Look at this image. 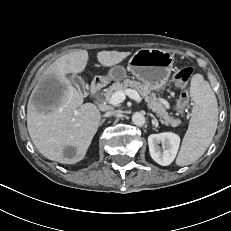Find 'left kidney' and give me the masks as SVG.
Returning <instances> with one entry per match:
<instances>
[{
  "instance_id": "5707ae66",
  "label": "left kidney",
  "mask_w": 231,
  "mask_h": 231,
  "mask_svg": "<svg viewBox=\"0 0 231 231\" xmlns=\"http://www.w3.org/2000/svg\"><path fill=\"white\" fill-rule=\"evenodd\" d=\"M159 144H162V149ZM148 145L152 159L162 166H167L177 155L180 137L172 132L151 134L148 137Z\"/></svg>"
}]
</instances>
